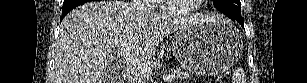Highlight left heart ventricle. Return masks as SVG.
I'll return each mask as SVG.
<instances>
[{"instance_id":"obj_1","label":"left heart ventricle","mask_w":307,"mask_h":83,"mask_svg":"<svg viewBox=\"0 0 307 83\" xmlns=\"http://www.w3.org/2000/svg\"><path fill=\"white\" fill-rule=\"evenodd\" d=\"M194 2H196V0H170L169 1V3L175 7L189 6Z\"/></svg>"}]
</instances>
